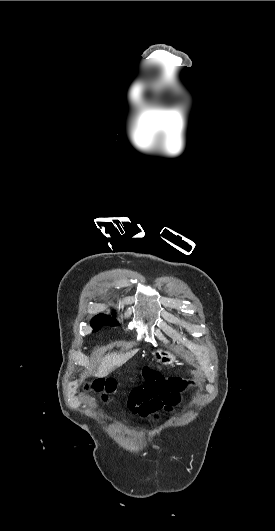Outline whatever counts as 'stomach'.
Masks as SVG:
<instances>
[{"label": "stomach", "mask_w": 275, "mask_h": 531, "mask_svg": "<svg viewBox=\"0 0 275 531\" xmlns=\"http://www.w3.org/2000/svg\"><path fill=\"white\" fill-rule=\"evenodd\" d=\"M144 358L146 361H157L161 365H174V363H177L176 355H172L171 351H164V349L146 350Z\"/></svg>", "instance_id": "obj_1"}]
</instances>
